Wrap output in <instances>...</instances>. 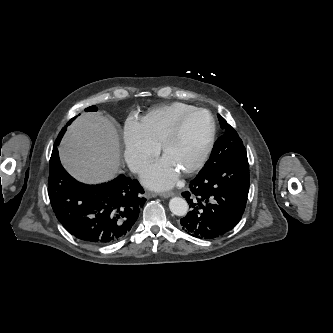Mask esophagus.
Masks as SVG:
<instances>
[{
	"instance_id": "obj_1",
	"label": "esophagus",
	"mask_w": 333,
	"mask_h": 333,
	"mask_svg": "<svg viewBox=\"0 0 333 333\" xmlns=\"http://www.w3.org/2000/svg\"><path fill=\"white\" fill-rule=\"evenodd\" d=\"M175 193L174 192H163L160 194L161 197H164V198H168V197H171L173 196ZM148 197H154L155 194H152V193H148L147 194Z\"/></svg>"
}]
</instances>
